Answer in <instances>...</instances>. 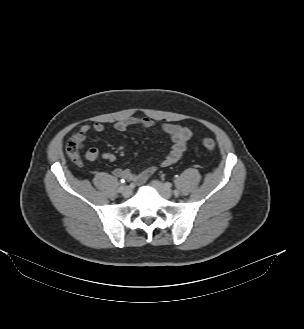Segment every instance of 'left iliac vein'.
I'll use <instances>...</instances> for the list:
<instances>
[{"mask_svg":"<svg viewBox=\"0 0 304 329\" xmlns=\"http://www.w3.org/2000/svg\"><path fill=\"white\" fill-rule=\"evenodd\" d=\"M151 184L163 198L170 199L172 197V190L165 184L159 182L158 180H153Z\"/></svg>","mask_w":304,"mask_h":329,"instance_id":"4c4485c4","label":"left iliac vein"}]
</instances>
